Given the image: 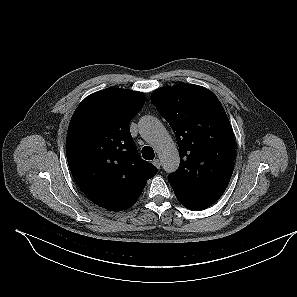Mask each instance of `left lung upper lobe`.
I'll return each mask as SVG.
<instances>
[{
  "label": "left lung upper lobe",
  "instance_id": "left-lung-upper-lobe-1",
  "mask_svg": "<svg viewBox=\"0 0 297 297\" xmlns=\"http://www.w3.org/2000/svg\"><path fill=\"white\" fill-rule=\"evenodd\" d=\"M151 102L179 146V168L168 177L177 199L192 211L208 208L222 196L234 169V134L222 104L210 90L186 83L157 89Z\"/></svg>",
  "mask_w": 297,
  "mask_h": 297
}]
</instances>
